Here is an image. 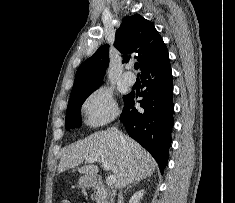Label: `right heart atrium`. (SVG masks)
<instances>
[{
	"instance_id": "right-heart-atrium-1",
	"label": "right heart atrium",
	"mask_w": 235,
	"mask_h": 203,
	"mask_svg": "<svg viewBox=\"0 0 235 203\" xmlns=\"http://www.w3.org/2000/svg\"><path fill=\"white\" fill-rule=\"evenodd\" d=\"M82 112L88 125L98 127L113 120L118 115V107L112 92L99 87L85 99Z\"/></svg>"
}]
</instances>
